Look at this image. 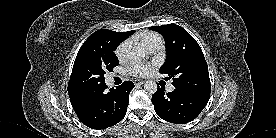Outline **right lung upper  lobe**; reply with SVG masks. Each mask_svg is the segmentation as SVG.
<instances>
[{"label": "right lung upper lobe", "mask_w": 276, "mask_h": 138, "mask_svg": "<svg viewBox=\"0 0 276 138\" xmlns=\"http://www.w3.org/2000/svg\"><path fill=\"white\" fill-rule=\"evenodd\" d=\"M134 31L128 32H115L107 29H100L94 32L82 45L80 50L84 49L89 45H95L100 43H108L114 47H117L122 41L133 34ZM79 50V51H80ZM71 100H74L77 96L72 90H68Z\"/></svg>", "instance_id": "1"}]
</instances>
